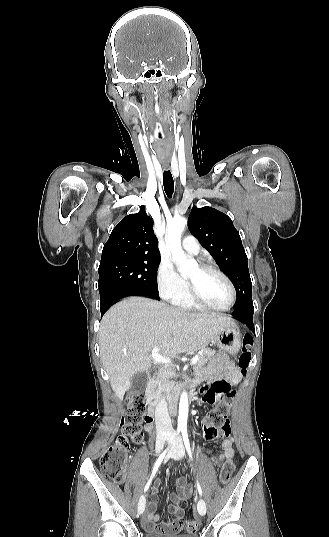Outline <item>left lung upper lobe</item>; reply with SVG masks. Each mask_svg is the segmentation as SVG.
Segmentation results:
<instances>
[{
  "label": "left lung upper lobe",
  "instance_id": "left-lung-upper-lobe-1",
  "mask_svg": "<svg viewBox=\"0 0 329 537\" xmlns=\"http://www.w3.org/2000/svg\"><path fill=\"white\" fill-rule=\"evenodd\" d=\"M188 226L231 279L237 294L234 311L254 310L248 259L232 220L214 208L193 207Z\"/></svg>",
  "mask_w": 329,
  "mask_h": 537
}]
</instances>
